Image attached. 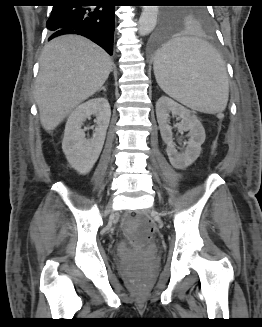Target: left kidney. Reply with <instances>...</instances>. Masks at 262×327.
Returning <instances> with one entry per match:
<instances>
[{"label": "left kidney", "mask_w": 262, "mask_h": 327, "mask_svg": "<svg viewBox=\"0 0 262 327\" xmlns=\"http://www.w3.org/2000/svg\"><path fill=\"white\" fill-rule=\"evenodd\" d=\"M170 113L182 119L178 124L179 130L189 131L187 146L181 154L177 152L173 142L172 127L169 125ZM156 116L162 139L167 144L166 152L171 165L176 169L187 168L201 153V145L206 138L203 125L192 111L166 96L156 102Z\"/></svg>", "instance_id": "1"}]
</instances>
